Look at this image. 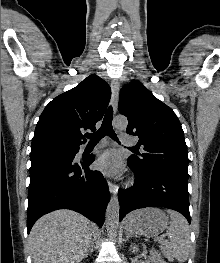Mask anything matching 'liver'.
Segmentation results:
<instances>
[{
    "label": "liver",
    "mask_w": 220,
    "mask_h": 263,
    "mask_svg": "<svg viewBox=\"0 0 220 263\" xmlns=\"http://www.w3.org/2000/svg\"><path fill=\"white\" fill-rule=\"evenodd\" d=\"M96 227L81 214L56 210L32 227L29 244L33 263H79L84 258Z\"/></svg>",
    "instance_id": "6515ba94"
}]
</instances>
